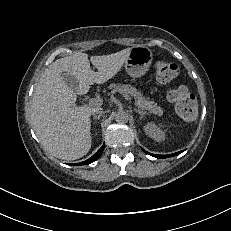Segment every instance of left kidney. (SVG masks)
Returning <instances> with one entry per match:
<instances>
[{"label": "left kidney", "mask_w": 231, "mask_h": 231, "mask_svg": "<svg viewBox=\"0 0 231 231\" xmlns=\"http://www.w3.org/2000/svg\"><path fill=\"white\" fill-rule=\"evenodd\" d=\"M144 131L147 136L152 138L155 141H164L165 140V132L162 131L155 123L148 122L144 126Z\"/></svg>", "instance_id": "left-kidney-1"}]
</instances>
